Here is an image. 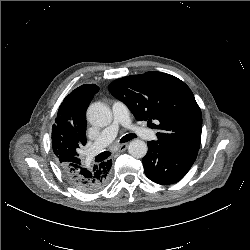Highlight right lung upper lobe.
<instances>
[{"mask_svg": "<svg viewBox=\"0 0 250 250\" xmlns=\"http://www.w3.org/2000/svg\"><path fill=\"white\" fill-rule=\"evenodd\" d=\"M99 88L82 85L61 103L52 129V148L60 166L80 164L78 149L86 144V110Z\"/></svg>", "mask_w": 250, "mask_h": 250, "instance_id": "1", "label": "right lung upper lobe"}]
</instances>
